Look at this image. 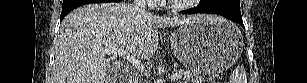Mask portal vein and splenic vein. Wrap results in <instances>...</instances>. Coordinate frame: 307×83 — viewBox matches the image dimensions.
Segmentation results:
<instances>
[{"mask_svg": "<svg viewBox=\"0 0 307 83\" xmlns=\"http://www.w3.org/2000/svg\"><path fill=\"white\" fill-rule=\"evenodd\" d=\"M105 53H107L108 55H114V56H122L124 58H126L129 62L132 63V65L139 71H143L144 70V66L135 58L130 57L127 55V53L123 50H119V49H107L105 50ZM182 75L179 73H174L170 76L171 80H178L181 79Z\"/></svg>", "mask_w": 307, "mask_h": 83, "instance_id": "obj_1", "label": "portal vein and splenic vein"}]
</instances>
